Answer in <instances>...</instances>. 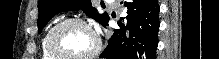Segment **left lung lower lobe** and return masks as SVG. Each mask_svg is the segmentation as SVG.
Wrapping results in <instances>:
<instances>
[{
  "label": "left lung lower lobe",
  "mask_w": 219,
  "mask_h": 59,
  "mask_svg": "<svg viewBox=\"0 0 219 59\" xmlns=\"http://www.w3.org/2000/svg\"><path fill=\"white\" fill-rule=\"evenodd\" d=\"M127 16L118 22L119 29L99 56L105 59H155L160 26L157 0H128ZM109 20V19H108ZM108 20L103 25H108Z\"/></svg>",
  "instance_id": "left-lung-lower-lobe-1"
}]
</instances>
